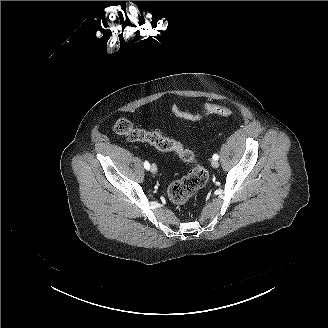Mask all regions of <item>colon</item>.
Listing matches in <instances>:
<instances>
[{"mask_svg": "<svg viewBox=\"0 0 328 328\" xmlns=\"http://www.w3.org/2000/svg\"><path fill=\"white\" fill-rule=\"evenodd\" d=\"M172 112L175 116L190 122H198L209 115L227 117L232 113L231 109L219 104H206L202 111L196 114L184 110L179 104H174L172 106ZM114 129L118 134L130 141L149 143L159 150L176 153L186 163L194 164L187 175L171 183L168 188V196L175 205L186 203L191 196L207 183V170L196 162L194 153L184 148L178 141L164 137L155 131L136 128L130 120L124 117L117 120Z\"/></svg>", "mask_w": 328, "mask_h": 328, "instance_id": "colon-1", "label": "colon"}]
</instances>
